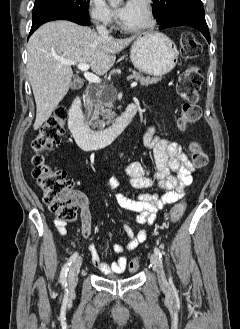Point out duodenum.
Listing matches in <instances>:
<instances>
[{"mask_svg": "<svg viewBox=\"0 0 240 329\" xmlns=\"http://www.w3.org/2000/svg\"><path fill=\"white\" fill-rule=\"evenodd\" d=\"M138 111L136 103H129L124 111L108 127L102 130L90 129L84 121L79 96H74L69 107V128L81 149L92 151L111 143L130 123Z\"/></svg>", "mask_w": 240, "mask_h": 329, "instance_id": "obj_1", "label": "duodenum"}]
</instances>
